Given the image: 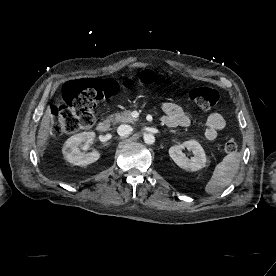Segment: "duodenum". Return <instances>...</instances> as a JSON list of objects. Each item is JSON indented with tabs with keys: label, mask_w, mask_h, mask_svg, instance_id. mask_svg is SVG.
<instances>
[{
	"label": "duodenum",
	"mask_w": 276,
	"mask_h": 276,
	"mask_svg": "<svg viewBox=\"0 0 276 276\" xmlns=\"http://www.w3.org/2000/svg\"><path fill=\"white\" fill-rule=\"evenodd\" d=\"M110 129V123L108 121H100L97 125V130L100 133H106L108 132Z\"/></svg>",
	"instance_id": "1"
}]
</instances>
